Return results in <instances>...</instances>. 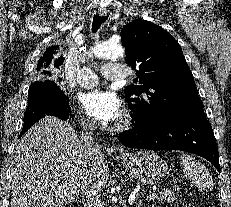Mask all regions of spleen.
<instances>
[{
    "label": "spleen",
    "instance_id": "obj_1",
    "mask_svg": "<svg viewBox=\"0 0 231 207\" xmlns=\"http://www.w3.org/2000/svg\"><path fill=\"white\" fill-rule=\"evenodd\" d=\"M180 163L185 176L197 186L199 190L207 191L213 187V179L206 167L190 155H182Z\"/></svg>",
    "mask_w": 231,
    "mask_h": 207
}]
</instances>
